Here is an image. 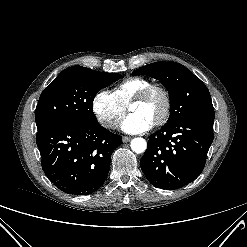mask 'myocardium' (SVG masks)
<instances>
[{
    "instance_id": "obj_1",
    "label": "myocardium",
    "mask_w": 247,
    "mask_h": 247,
    "mask_svg": "<svg viewBox=\"0 0 247 247\" xmlns=\"http://www.w3.org/2000/svg\"><path fill=\"white\" fill-rule=\"evenodd\" d=\"M153 93H159L164 100V109L160 117L153 123L154 126H160L167 122L172 110V98L169 91L160 84H150L139 91L129 102L132 103L143 102L147 100Z\"/></svg>"
}]
</instances>
